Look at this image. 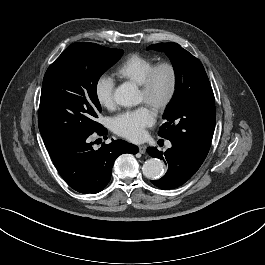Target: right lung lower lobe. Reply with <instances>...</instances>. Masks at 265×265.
Here are the masks:
<instances>
[{
    "label": "right lung lower lobe",
    "mask_w": 265,
    "mask_h": 265,
    "mask_svg": "<svg viewBox=\"0 0 265 265\" xmlns=\"http://www.w3.org/2000/svg\"><path fill=\"white\" fill-rule=\"evenodd\" d=\"M94 132L99 135L107 134L102 125ZM91 134L79 136L47 150L58 173L72 189L80 193L95 194L109 183L116 158L123 153L136 154L138 147L116 140L95 150L89 139Z\"/></svg>",
    "instance_id": "right-lung-lower-lobe-1"
}]
</instances>
